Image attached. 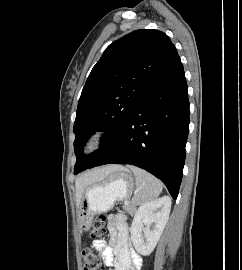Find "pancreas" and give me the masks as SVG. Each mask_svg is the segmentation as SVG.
<instances>
[{
	"label": "pancreas",
	"mask_w": 242,
	"mask_h": 270,
	"mask_svg": "<svg viewBox=\"0 0 242 270\" xmlns=\"http://www.w3.org/2000/svg\"><path fill=\"white\" fill-rule=\"evenodd\" d=\"M123 209L129 212L130 214H133L136 211V206L134 204H126L123 206Z\"/></svg>",
	"instance_id": "1"
}]
</instances>
